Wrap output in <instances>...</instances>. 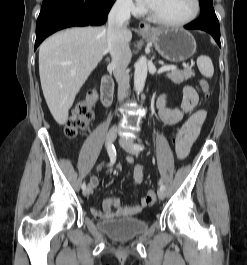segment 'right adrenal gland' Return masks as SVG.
Segmentation results:
<instances>
[{
    "instance_id": "right-adrenal-gland-1",
    "label": "right adrenal gland",
    "mask_w": 247,
    "mask_h": 265,
    "mask_svg": "<svg viewBox=\"0 0 247 265\" xmlns=\"http://www.w3.org/2000/svg\"><path fill=\"white\" fill-rule=\"evenodd\" d=\"M105 61H106L107 63H109V62H110V59H109V58H106Z\"/></svg>"
}]
</instances>
